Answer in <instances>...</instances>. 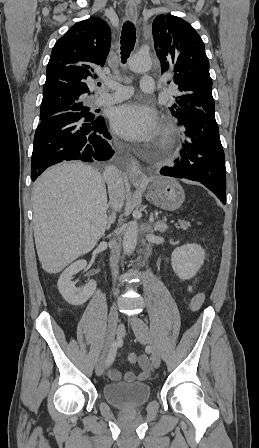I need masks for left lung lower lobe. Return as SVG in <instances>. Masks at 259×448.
<instances>
[{
	"label": "left lung lower lobe",
	"mask_w": 259,
	"mask_h": 448,
	"mask_svg": "<svg viewBox=\"0 0 259 448\" xmlns=\"http://www.w3.org/2000/svg\"><path fill=\"white\" fill-rule=\"evenodd\" d=\"M177 119L186 129V139L175 165L163 167L160 173L198 181L225 204V156L214 113L191 108L182 112Z\"/></svg>",
	"instance_id": "left-lung-lower-lobe-1"
}]
</instances>
